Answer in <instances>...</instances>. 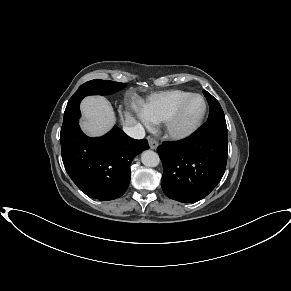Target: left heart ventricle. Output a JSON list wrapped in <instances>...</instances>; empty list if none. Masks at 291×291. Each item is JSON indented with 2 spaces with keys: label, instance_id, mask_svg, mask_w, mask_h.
<instances>
[{
  "label": "left heart ventricle",
  "instance_id": "obj_1",
  "mask_svg": "<svg viewBox=\"0 0 291 291\" xmlns=\"http://www.w3.org/2000/svg\"><path fill=\"white\" fill-rule=\"evenodd\" d=\"M203 109V102L200 98H193L185 108L180 121L179 127L185 128L192 125L200 116Z\"/></svg>",
  "mask_w": 291,
  "mask_h": 291
}]
</instances>
